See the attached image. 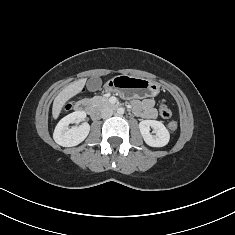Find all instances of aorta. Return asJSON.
<instances>
[{
  "label": "aorta",
  "mask_w": 235,
  "mask_h": 235,
  "mask_svg": "<svg viewBox=\"0 0 235 235\" xmlns=\"http://www.w3.org/2000/svg\"><path fill=\"white\" fill-rule=\"evenodd\" d=\"M124 111H125L124 108L120 107L117 109V114L122 115L124 114Z\"/></svg>",
  "instance_id": "762f6f07"
}]
</instances>
